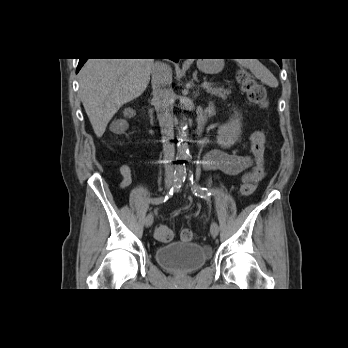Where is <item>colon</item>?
<instances>
[{
  "label": "colon",
  "mask_w": 348,
  "mask_h": 348,
  "mask_svg": "<svg viewBox=\"0 0 348 348\" xmlns=\"http://www.w3.org/2000/svg\"><path fill=\"white\" fill-rule=\"evenodd\" d=\"M238 81L241 83L244 92L250 102L257 105H265L267 103V93L264 86L258 83L252 78V76L246 71L241 70L237 75ZM123 123H118L116 128L122 129ZM251 151L254 157V165L250 171V181L244 183L240 192L244 196H248L253 193L255 189V183L262 175L264 170V155L266 150V135L263 131L257 130L252 133L250 137ZM154 236L158 241L169 242L173 238V233L165 224H159L156 226ZM194 237V234L189 229H184L181 232V239L183 241H190Z\"/></svg>",
  "instance_id": "colon-1"
}]
</instances>
